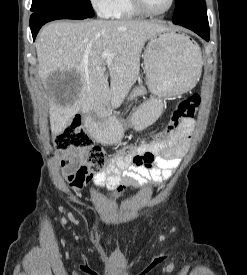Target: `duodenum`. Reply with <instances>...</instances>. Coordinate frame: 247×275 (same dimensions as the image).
<instances>
[{
    "instance_id": "410a0bca",
    "label": "duodenum",
    "mask_w": 247,
    "mask_h": 275,
    "mask_svg": "<svg viewBox=\"0 0 247 275\" xmlns=\"http://www.w3.org/2000/svg\"><path fill=\"white\" fill-rule=\"evenodd\" d=\"M110 108H111V97L110 95H107L100 106V110L106 115L110 111Z\"/></svg>"
}]
</instances>
